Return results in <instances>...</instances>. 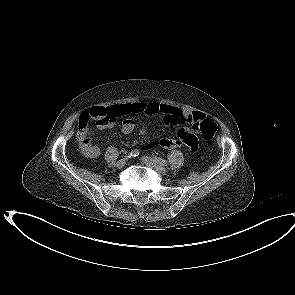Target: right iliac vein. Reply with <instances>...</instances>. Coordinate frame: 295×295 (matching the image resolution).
<instances>
[{"label":"right iliac vein","mask_w":295,"mask_h":295,"mask_svg":"<svg viewBox=\"0 0 295 295\" xmlns=\"http://www.w3.org/2000/svg\"><path fill=\"white\" fill-rule=\"evenodd\" d=\"M127 164V159H120L117 163L116 166L118 168H123Z\"/></svg>","instance_id":"obj_1"}]
</instances>
